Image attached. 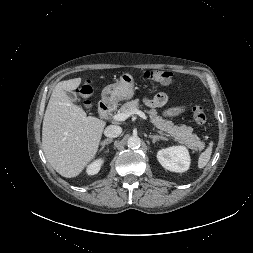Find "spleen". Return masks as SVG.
Wrapping results in <instances>:
<instances>
[{"mask_svg": "<svg viewBox=\"0 0 253 253\" xmlns=\"http://www.w3.org/2000/svg\"><path fill=\"white\" fill-rule=\"evenodd\" d=\"M212 147L213 142H210L206 150L200 154L198 160V168L202 169L208 164L212 154Z\"/></svg>", "mask_w": 253, "mask_h": 253, "instance_id": "3e777b00", "label": "spleen"}]
</instances>
